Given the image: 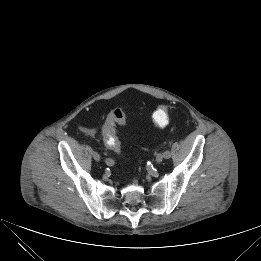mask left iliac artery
<instances>
[{
	"label": "left iliac artery",
	"mask_w": 261,
	"mask_h": 261,
	"mask_svg": "<svg viewBox=\"0 0 261 261\" xmlns=\"http://www.w3.org/2000/svg\"><path fill=\"white\" fill-rule=\"evenodd\" d=\"M163 156L165 159H169L171 157V151L170 150H164L163 151Z\"/></svg>",
	"instance_id": "left-iliac-artery-1"
}]
</instances>
